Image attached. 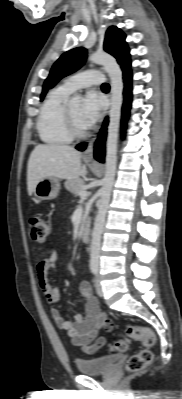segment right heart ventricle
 Returning <instances> with one entry per match:
<instances>
[{"mask_svg": "<svg viewBox=\"0 0 182 399\" xmlns=\"http://www.w3.org/2000/svg\"><path fill=\"white\" fill-rule=\"evenodd\" d=\"M69 94L59 86L48 94L40 108L37 130L41 140L47 144H66L72 140L64 118Z\"/></svg>", "mask_w": 182, "mask_h": 399, "instance_id": "right-heart-ventricle-1", "label": "right heart ventricle"}]
</instances>
